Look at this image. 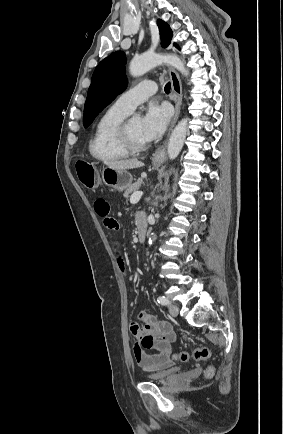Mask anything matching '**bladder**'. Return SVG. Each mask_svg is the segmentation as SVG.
<instances>
[{"label":"bladder","mask_w":283,"mask_h":434,"mask_svg":"<svg viewBox=\"0 0 283 434\" xmlns=\"http://www.w3.org/2000/svg\"><path fill=\"white\" fill-rule=\"evenodd\" d=\"M178 369L169 368L162 371L150 372L146 378L150 381H164L176 375Z\"/></svg>","instance_id":"obj_1"}]
</instances>
